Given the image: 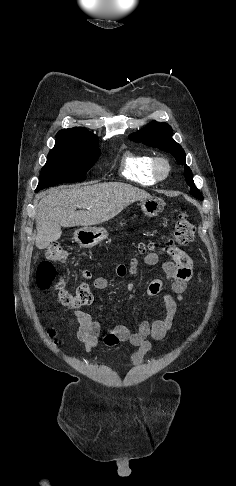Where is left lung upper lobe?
Here are the masks:
<instances>
[{"instance_id": "obj_1", "label": "left lung upper lobe", "mask_w": 236, "mask_h": 486, "mask_svg": "<svg viewBox=\"0 0 236 486\" xmlns=\"http://www.w3.org/2000/svg\"><path fill=\"white\" fill-rule=\"evenodd\" d=\"M129 138L137 143L159 148L162 151L171 153L178 164L185 165L184 172L187 184L190 186V193L193 197L203 200L200 191L194 185L192 172L186 165V155L183 148L172 139V128L167 123L152 122L141 131L134 133Z\"/></svg>"}]
</instances>
